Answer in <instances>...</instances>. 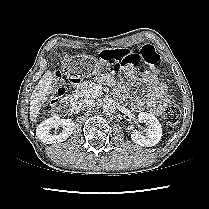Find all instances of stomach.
I'll use <instances>...</instances> for the list:
<instances>
[{
  "label": "stomach",
  "instance_id": "0dacf381",
  "mask_svg": "<svg viewBox=\"0 0 209 209\" xmlns=\"http://www.w3.org/2000/svg\"><path fill=\"white\" fill-rule=\"evenodd\" d=\"M105 64V60L101 58L97 60V58L92 55L74 56L65 60L63 70L65 74L70 77L91 75L93 73H99Z\"/></svg>",
  "mask_w": 209,
  "mask_h": 209
}]
</instances>
